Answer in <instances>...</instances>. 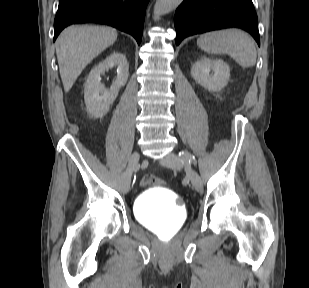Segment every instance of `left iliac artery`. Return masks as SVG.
<instances>
[{
	"label": "left iliac artery",
	"mask_w": 309,
	"mask_h": 288,
	"mask_svg": "<svg viewBox=\"0 0 309 288\" xmlns=\"http://www.w3.org/2000/svg\"><path fill=\"white\" fill-rule=\"evenodd\" d=\"M179 157H180L181 161L185 164H187V163L196 164V160H195L194 156L191 155L190 153L181 151V152H179Z\"/></svg>",
	"instance_id": "left-iliac-artery-1"
}]
</instances>
